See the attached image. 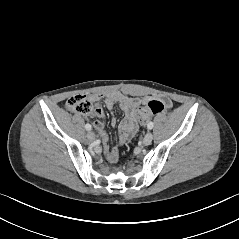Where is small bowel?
I'll return each instance as SVG.
<instances>
[{
  "instance_id": "c3829d8e",
  "label": "small bowel",
  "mask_w": 239,
  "mask_h": 239,
  "mask_svg": "<svg viewBox=\"0 0 239 239\" xmlns=\"http://www.w3.org/2000/svg\"><path fill=\"white\" fill-rule=\"evenodd\" d=\"M89 99L95 103V108L92 115L96 116L98 119L93 123L94 128L99 132L104 146L105 153L109 160L116 159L118 155L117 147H109V137L104 129V113L102 108L97 104L100 100H103L108 109H113L117 104L124 112V119L119 124V143L122 144L126 140L130 139L137 131L138 124L136 119L137 108L148 101V98H139L127 96L119 91L108 92L104 94H92ZM164 103L166 107H171L172 103L169 99H165ZM116 124V118H112V125Z\"/></svg>"
}]
</instances>
